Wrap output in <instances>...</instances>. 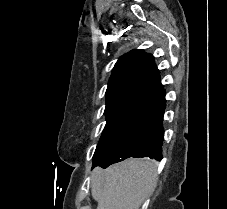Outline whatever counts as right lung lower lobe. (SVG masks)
Instances as JSON below:
<instances>
[{"mask_svg":"<svg viewBox=\"0 0 227 209\" xmlns=\"http://www.w3.org/2000/svg\"><path fill=\"white\" fill-rule=\"evenodd\" d=\"M166 100L153 108V113L144 126L133 138L113 152L101 167L106 168L113 163L127 158L149 157L160 161L162 159V143L164 131L162 127Z\"/></svg>","mask_w":227,"mask_h":209,"instance_id":"right-lung-lower-lobe-1","label":"right lung lower lobe"}]
</instances>
